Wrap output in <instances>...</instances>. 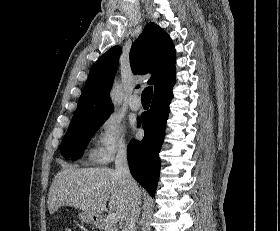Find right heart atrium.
<instances>
[{"label": "right heart atrium", "instance_id": "d8ad5b80", "mask_svg": "<svg viewBox=\"0 0 280 231\" xmlns=\"http://www.w3.org/2000/svg\"><path fill=\"white\" fill-rule=\"evenodd\" d=\"M129 142L125 129L119 119L110 116L100 124L97 146L93 152L96 161L106 164L118 153L126 152Z\"/></svg>", "mask_w": 280, "mask_h": 231}]
</instances>
